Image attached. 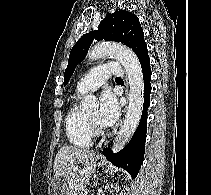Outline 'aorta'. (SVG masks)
<instances>
[{
    "mask_svg": "<svg viewBox=\"0 0 211 195\" xmlns=\"http://www.w3.org/2000/svg\"><path fill=\"white\" fill-rule=\"evenodd\" d=\"M112 56L124 67L129 83V106L124 123L118 131L112 150L114 153L120 151L135 132L141 118L144 103V80L139 59L135 53L124 46L115 43H98L88 52L90 61L103 57ZM83 111H91L98 108V101L93 95H86L80 104Z\"/></svg>",
    "mask_w": 211,
    "mask_h": 195,
    "instance_id": "aorta-1",
    "label": "aorta"
}]
</instances>
